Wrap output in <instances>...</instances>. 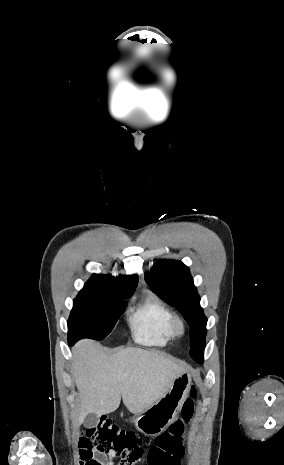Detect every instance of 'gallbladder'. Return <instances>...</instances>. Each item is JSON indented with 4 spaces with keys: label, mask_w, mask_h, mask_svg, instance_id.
<instances>
[{
    "label": "gallbladder",
    "mask_w": 284,
    "mask_h": 465,
    "mask_svg": "<svg viewBox=\"0 0 284 465\" xmlns=\"http://www.w3.org/2000/svg\"><path fill=\"white\" fill-rule=\"evenodd\" d=\"M98 421H99V417H96L94 413H90V415L86 417L83 425L84 427H87V429H93V427H97Z\"/></svg>",
    "instance_id": "gallbladder-1"
}]
</instances>
